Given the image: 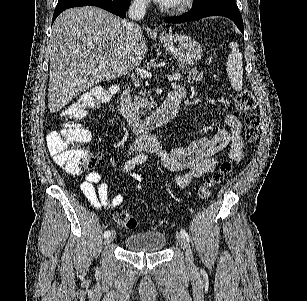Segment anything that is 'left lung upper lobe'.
I'll use <instances>...</instances> for the list:
<instances>
[{
	"instance_id": "obj_1",
	"label": "left lung upper lobe",
	"mask_w": 307,
	"mask_h": 301,
	"mask_svg": "<svg viewBox=\"0 0 307 301\" xmlns=\"http://www.w3.org/2000/svg\"><path fill=\"white\" fill-rule=\"evenodd\" d=\"M196 3L193 8H203L207 6H225L238 9L235 0H195Z\"/></svg>"
}]
</instances>
